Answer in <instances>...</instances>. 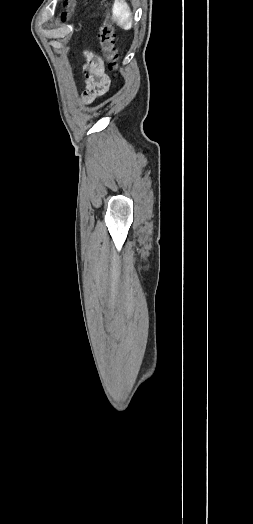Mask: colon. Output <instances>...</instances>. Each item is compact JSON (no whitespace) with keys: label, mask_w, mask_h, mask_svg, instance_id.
Instances as JSON below:
<instances>
[{"label":"colon","mask_w":253,"mask_h":524,"mask_svg":"<svg viewBox=\"0 0 253 524\" xmlns=\"http://www.w3.org/2000/svg\"><path fill=\"white\" fill-rule=\"evenodd\" d=\"M76 0H65V11L62 18L67 20L74 11ZM99 47L108 66L115 69L118 66L119 56L116 48V33L112 20L106 17L99 27Z\"/></svg>","instance_id":"colon-1"}]
</instances>
